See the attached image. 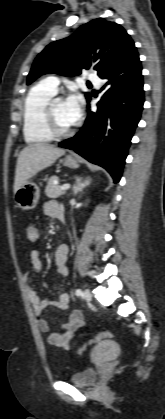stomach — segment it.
<instances>
[{
    "instance_id": "0dacf381",
    "label": "stomach",
    "mask_w": 165,
    "mask_h": 419,
    "mask_svg": "<svg viewBox=\"0 0 165 419\" xmlns=\"http://www.w3.org/2000/svg\"><path fill=\"white\" fill-rule=\"evenodd\" d=\"M63 164L64 166L73 169L79 167L78 160L72 156H67L63 160ZM14 194L15 202L21 209L32 210L38 203L40 197V189L34 182L28 181Z\"/></svg>"
}]
</instances>
